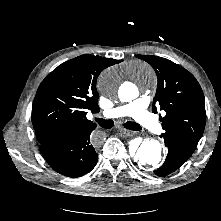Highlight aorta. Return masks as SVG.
<instances>
[{
    "mask_svg": "<svg viewBox=\"0 0 221 221\" xmlns=\"http://www.w3.org/2000/svg\"><path fill=\"white\" fill-rule=\"evenodd\" d=\"M141 68H147L146 65H140ZM116 86V75L112 72H106L100 80V88L106 95H113ZM137 90L131 91L119 90L118 95L121 101L129 102L137 97ZM132 157L137 161L138 165L144 168L157 167L162 160V146L155 140H144L139 148L132 152Z\"/></svg>",
    "mask_w": 221,
    "mask_h": 221,
    "instance_id": "762f6f07",
    "label": "aorta"
}]
</instances>
